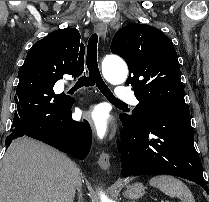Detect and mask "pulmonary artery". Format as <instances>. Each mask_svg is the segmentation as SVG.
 <instances>
[{
  "instance_id": "pulmonary-artery-1",
  "label": "pulmonary artery",
  "mask_w": 209,
  "mask_h": 202,
  "mask_svg": "<svg viewBox=\"0 0 209 202\" xmlns=\"http://www.w3.org/2000/svg\"><path fill=\"white\" fill-rule=\"evenodd\" d=\"M118 100L122 101L123 103L130 104L132 106H137L139 104V99H137L133 92L126 88H121L118 86L116 88V96Z\"/></svg>"
}]
</instances>
